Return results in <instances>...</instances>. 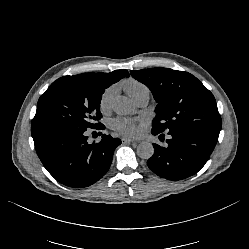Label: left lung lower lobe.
Segmentation results:
<instances>
[{
    "instance_id": "1",
    "label": "left lung lower lobe",
    "mask_w": 249,
    "mask_h": 249,
    "mask_svg": "<svg viewBox=\"0 0 249 249\" xmlns=\"http://www.w3.org/2000/svg\"><path fill=\"white\" fill-rule=\"evenodd\" d=\"M152 134L164 141L163 132L152 127ZM220 130L204 127H178L169 130L166 145L153 144L155 151L148 167L162 178L182 180L197 173L208 161Z\"/></svg>"
}]
</instances>
